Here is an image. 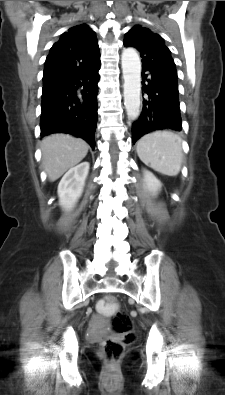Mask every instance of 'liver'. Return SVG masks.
I'll use <instances>...</instances> for the list:
<instances>
[{
  "label": "liver",
  "instance_id": "liver-1",
  "mask_svg": "<svg viewBox=\"0 0 225 395\" xmlns=\"http://www.w3.org/2000/svg\"><path fill=\"white\" fill-rule=\"evenodd\" d=\"M89 145L68 134H53L41 143L42 165L51 182L85 158Z\"/></svg>",
  "mask_w": 225,
  "mask_h": 395
}]
</instances>
